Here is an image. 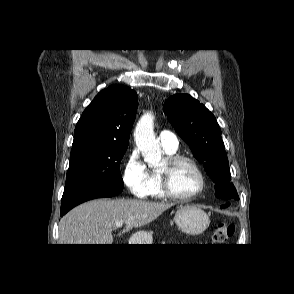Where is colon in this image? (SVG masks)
<instances>
[{
	"label": "colon",
	"instance_id": "1",
	"mask_svg": "<svg viewBox=\"0 0 294 294\" xmlns=\"http://www.w3.org/2000/svg\"><path fill=\"white\" fill-rule=\"evenodd\" d=\"M234 234V225L231 223H219L214 229L212 239L217 245H224Z\"/></svg>",
	"mask_w": 294,
	"mask_h": 294
}]
</instances>
